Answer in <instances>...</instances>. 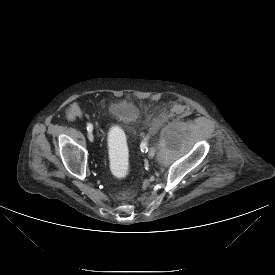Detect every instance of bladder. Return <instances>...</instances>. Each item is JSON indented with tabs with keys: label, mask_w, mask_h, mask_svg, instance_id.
I'll use <instances>...</instances> for the list:
<instances>
[{
	"label": "bladder",
	"mask_w": 275,
	"mask_h": 275,
	"mask_svg": "<svg viewBox=\"0 0 275 275\" xmlns=\"http://www.w3.org/2000/svg\"><path fill=\"white\" fill-rule=\"evenodd\" d=\"M108 112L120 126L128 127L138 122L140 111L138 106L129 100H116L110 103Z\"/></svg>",
	"instance_id": "obj_1"
}]
</instances>
